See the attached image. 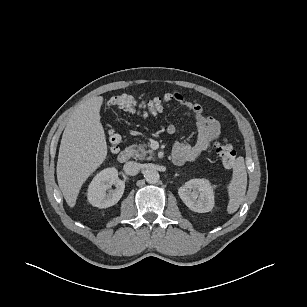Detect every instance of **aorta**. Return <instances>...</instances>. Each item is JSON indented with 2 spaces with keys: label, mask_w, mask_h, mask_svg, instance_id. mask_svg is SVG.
<instances>
[{
  "label": "aorta",
  "mask_w": 307,
  "mask_h": 307,
  "mask_svg": "<svg viewBox=\"0 0 307 307\" xmlns=\"http://www.w3.org/2000/svg\"><path fill=\"white\" fill-rule=\"evenodd\" d=\"M146 181L150 184H155L159 181V173L156 170L150 169L144 173Z\"/></svg>",
  "instance_id": "obj_1"
}]
</instances>
